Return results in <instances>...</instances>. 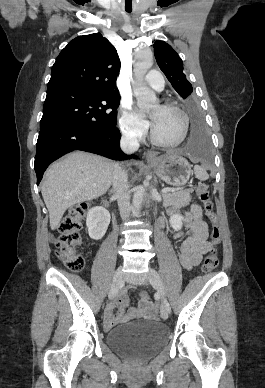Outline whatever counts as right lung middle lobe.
<instances>
[{"instance_id": "1", "label": "right lung middle lobe", "mask_w": 265, "mask_h": 388, "mask_svg": "<svg viewBox=\"0 0 265 388\" xmlns=\"http://www.w3.org/2000/svg\"><path fill=\"white\" fill-rule=\"evenodd\" d=\"M120 95L113 89L93 92L67 91L46 96L40 130L59 124L89 125L113 130Z\"/></svg>"}]
</instances>
